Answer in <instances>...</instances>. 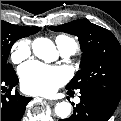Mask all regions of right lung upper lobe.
Masks as SVG:
<instances>
[{"instance_id":"obj_1","label":"right lung upper lobe","mask_w":121,"mask_h":121,"mask_svg":"<svg viewBox=\"0 0 121 121\" xmlns=\"http://www.w3.org/2000/svg\"><path fill=\"white\" fill-rule=\"evenodd\" d=\"M29 30V35H32L34 33H37L38 31H40L41 28L39 27H27Z\"/></svg>"}]
</instances>
